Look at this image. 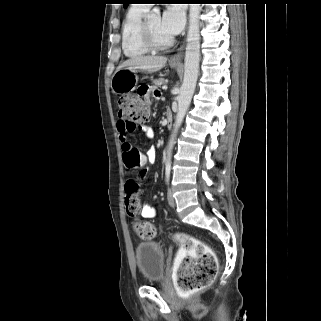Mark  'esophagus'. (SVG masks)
Here are the masks:
<instances>
[{
    "label": "esophagus",
    "mask_w": 321,
    "mask_h": 321,
    "mask_svg": "<svg viewBox=\"0 0 321 321\" xmlns=\"http://www.w3.org/2000/svg\"><path fill=\"white\" fill-rule=\"evenodd\" d=\"M184 47H185V44H183L178 52L176 54H174L171 58H170V61L171 62H180L181 59H182V56H183V51H184Z\"/></svg>",
    "instance_id": "obj_1"
}]
</instances>
